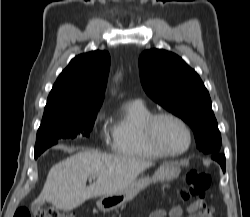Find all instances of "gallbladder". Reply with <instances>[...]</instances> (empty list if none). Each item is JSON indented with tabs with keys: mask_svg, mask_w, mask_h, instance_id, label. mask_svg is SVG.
<instances>
[{
	"mask_svg": "<svg viewBox=\"0 0 250 217\" xmlns=\"http://www.w3.org/2000/svg\"><path fill=\"white\" fill-rule=\"evenodd\" d=\"M42 205H43L42 202L36 203V204H34V205L32 206L31 210H32L33 212H38V210L41 208Z\"/></svg>",
	"mask_w": 250,
	"mask_h": 217,
	"instance_id": "gallbladder-1",
	"label": "gallbladder"
}]
</instances>
